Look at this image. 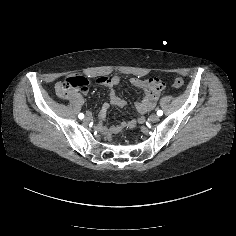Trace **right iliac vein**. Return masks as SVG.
Returning <instances> with one entry per match:
<instances>
[{
    "label": "right iliac vein",
    "mask_w": 236,
    "mask_h": 236,
    "mask_svg": "<svg viewBox=\"0 0 236 236\" xmlns=\"http://www.w3.org/2000/svg\"><path fill=\"white\" fill-rule=\"evenodd\" d=\"M91 119H92V115L91 114H87V116L84 119V122H89V121H91Z\"/></svg>",
    "instance_id": "right-iliac-vein-1"
}]
</instances>
